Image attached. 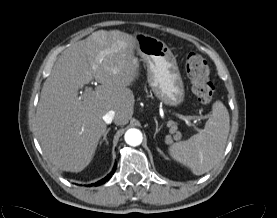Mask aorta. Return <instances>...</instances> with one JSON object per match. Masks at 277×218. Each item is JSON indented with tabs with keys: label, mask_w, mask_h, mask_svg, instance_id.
Here are the masks:
<instances>
[{
	"label": "aorta",
	"mask_w": 277,
	"mask_h": 218,
	"mask_svg": "<svg viewBox=\"0 0 277 218\" xmlns=\"http://www.w3.org/2000/svg\"><path fill=\"white\" fill-rule=\"evenodd\" d=\"M125 141L130 146H138L142 143V133L140 130L131 128L125 133Z\"/></svg>",
	"instance_id": "1"
}]
</instances>
